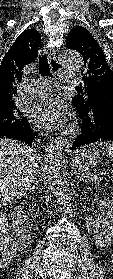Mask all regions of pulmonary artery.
<instances>
[{
	"label": "pulmonary artery",
	"instance_id": "1",
	"mask_svg": "<svg viewBox=\"0 0 113 279\" xmlns=\"http://www.w3.org/2000/svg\"><path fill=\"white\" fill-rule=\"evenodd\" d=\"M62 78L64 79V81L72 85H77L81 82V78L74 73H64L62 74ZM49 89L50 83L48 81L38 79L34 81L29 87H27L26 95L42 94Z\"/></svg>",
	"mask_w": 113,
	"mask_h": 279
}]
</instances>
